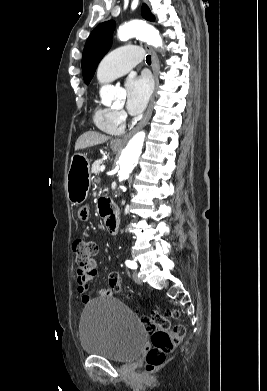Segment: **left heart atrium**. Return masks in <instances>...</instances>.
<instances>
[{"label":"left heart atrium","instance_id":"obj_1","mask_svg":"<svg viewBox=\"0 0 267 391\" xmlns=\"http://www.w3.org/2000/svg\"><path fill=\"white\" fill-rule=\"evenodd\" d=\"M127 102L130 114L138 115L146 107L151 94V82L147 77H130L126 81Z\"/></svg>","mask_w":267,"mask_h":391}]
</instances>
